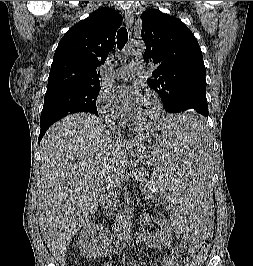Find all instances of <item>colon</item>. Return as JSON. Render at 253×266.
I'll return each mask as SVG.
<instances>
[{
  "label": "colon",
  "mask_w": 253,
  "mask_h": 266,
  "mask_svg": "<svg viewBox=\"0 0 253 266\" xmlns=\"http://www.w3.org/2000/svg\"><path fill=\"white\" fill-rule=\"evenodd\" d=\"M209 248L210 242H202L201 248H191L189 251V257L184 266H199L205 259Z\"/></svg>",
  "instance_id": "colon-1"
}]
</instances>
